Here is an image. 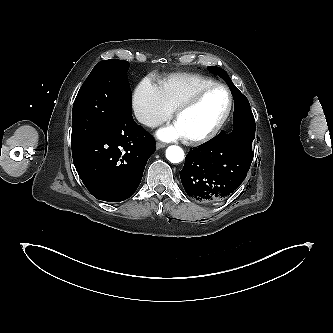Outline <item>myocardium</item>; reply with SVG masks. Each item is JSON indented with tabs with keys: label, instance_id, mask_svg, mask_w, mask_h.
I'll use <instances>...</instances> for the list:
<instances>
[{
	"label": "myocardium",
	"instance_id": "myocardium-1",
	"mask_svg": "<svg viewBox=\"0 0 333 333\" xmlns=\"http://www.w3.org/2000/svg\"><path fill=\"white\" fill-rule=\"evenodd\" d=\"M216 88H222L227 92L228 95V105H227V109L224 113V115L222 116V118L219 120V122L207 133L202 134L200 136H195V137H186V140L193 145H199V144H203L206 143L212 139H214L219 133L220 131L224 128V126L226 125L232 110H233V105H234V98H233V94L230 90V88L222 83H213L210 85H207L205 87H202L201 89H199L198 91H196L192 96H190L186 101H184L182 104H180L174 113V121L176 122L178 120V118L185 113L186 111H188L189 109L193 108L196 104H198V102L210 91L216 89Z\"/></svg>",
	"mask_w": 333,
	"mask_h": 333
}]
</instances>
